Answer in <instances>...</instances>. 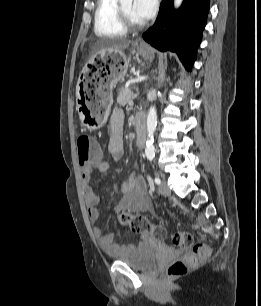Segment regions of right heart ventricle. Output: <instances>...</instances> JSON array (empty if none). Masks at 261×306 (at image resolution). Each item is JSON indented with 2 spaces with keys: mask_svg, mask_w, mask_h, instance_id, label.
<instances>
[{
  "mask_svg": "<svg viewBox=\"0 0 261 306\" xmlns=\"http://www.w3.org/2000/svg\"><path fill=\"white\" fill-rule=\"evenodd\" d=\"M94 32L97 36L108 38L124 37L127 34L119 16L118 0L97 1Z\"/></svg>",
  "mask_w": 261,
  "mask_h": 306,
  "instance_id": "obj_1",
  "label": "right heart ventricle"
}]
</instances>
